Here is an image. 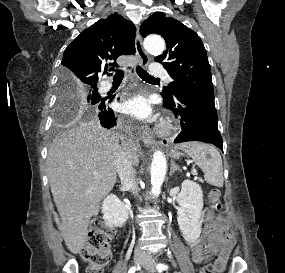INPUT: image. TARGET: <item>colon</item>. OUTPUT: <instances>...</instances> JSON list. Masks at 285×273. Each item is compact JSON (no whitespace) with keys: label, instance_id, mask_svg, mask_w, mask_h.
Segmentation results:
<instances>
[{"label":"colon","instance_id":"obj_1","mask_svg":"<svg viewBox=\"0 0 285 273\" xmlns=\"http://www.w3.org/2000/svg\"><path fill=\"white\" fill-rule=\"evenodd\" d=\"M209 201L213 210H222L220 191L214 188L210 191ZM113 231L100 224H95L89 230L81 256L87 263L88 273H104L111 262V241ZM201 273H216L212 264L205 265Z\"/></svg>","mask_w":285,"mask_h":273}]
</instances>
